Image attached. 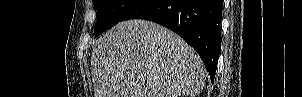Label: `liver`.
Returning <instances> with one entry per match:
<instances>
[{
    "instance_id": "1",
    "label": "liver",
    "mask_w": 302,
    "mask_h": 97,
    "mask_svg": "<svg viewBox=\"0 0 302 97\" xmlns=\"http://www.w3.org/2000/svg\"><path fill=\"white\" fill-rule=\"evenodd\" d=\"M94 97H196L206 69L181 37L135 19L107 31L92 51Z\"/></svg>"
}]
</instances>
